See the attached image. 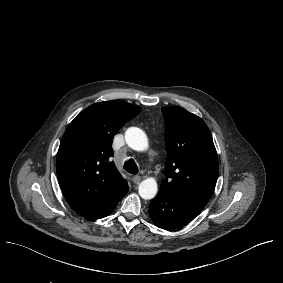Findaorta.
Wrapping results in <instances>:
<instances>
[{
  "instance_id": "1",
  "label": "aorta",
  "mask_w": 283,
  "mask_h": 283,
  "mask_svg": "<svg viewBox=\"0 0 283 283\" xmlns=\"http://www.w3.org/2000/svg\"><path fill=\"white\" fill-rule=\"evenodd\" d=\"M127 145L136 151H145L148 148V139L143 130L137 127H130L125 132ZM158 190L157 182L150 177L139 184L138 192L141 198L148 200L156 196Z\"/></svg>"
}]
</instances>
